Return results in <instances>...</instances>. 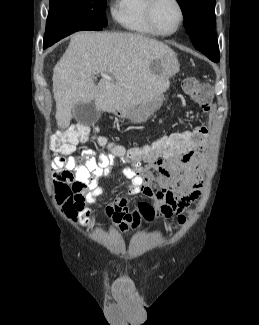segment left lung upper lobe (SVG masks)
I'll use <instances>...</instances> for the list:
<instances>
[{"instance_id":"5c2ea615","label":"left lung upper lobe","mask_w":259,"mask_h":325,"mask_svg":"<svg viewBox=\"0 0 259 325\" xmlns=\"http://www.w3.org/2000/svg\"><path fill=\"white\" fill-rule=\"evenodd\" d=\"M184 27L196 49L219 62V47L215 33V0H177Z\"/></svg>"}]
</instances>
